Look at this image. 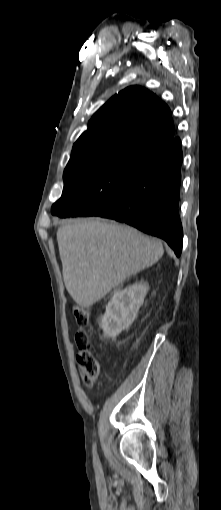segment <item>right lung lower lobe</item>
Here are the masks:
<instances>
[{
  "label": "right lung lower lobe",
  "mask_w": 221,
  "mask_h": 510,
  "mask_svg": "<svg viewBox=\"0 0 221 510\" xmlns=\"http://www.w3.org/2000/svg\"><path fill=\"white\" fill-rule=\"evenodd\" d=\"M181 141L150 152L125 192L105 208L85 210L79 206L67 216H100L125 222L167 242L177 256L183 231L178 213L182 164Z\"/></svg>",
  "instance_id": "98d812e1"
}]
</instances>
